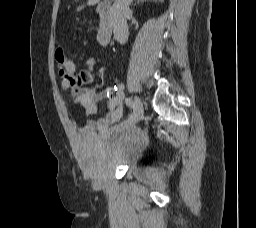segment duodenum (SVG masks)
I'll return each instance as SVG.
<instances>
[{
    "label": "duodenum",
    "mask_w": 256,
    "mask_h": 228,
    "mask_svg": "<svg viewBox=\"0 0 256 228\" xmlns=\"http://www.w3.org/2000/svg\"><path fill=\"white\" fill-rule=\"evenodd\" d=\"M97 11L100 16V27L98 31V42L106 46L112 40L114 11L110 3L103 2L97 6Z\"/></svg>",
    "instance_id": "1"
}]
</instances>
